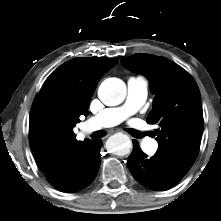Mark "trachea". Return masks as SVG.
I'll return each mask as SVG.
<instances>
[{"mask_svg": "<svg viewBox=\"0 0 221 221\" xmlns=\"http://www.w3.org/2000/svg\"><path fill=\"white\" fill-rule=\"evenodd\" d=\"M129 133L132 136H134L135 138H141L142 137V133H140L139 131L133 130V129H130ZM105 135H106L105 131H96L92 134L91 137H92V139L97 140V139L103 138Z\"/></svg>", "mask_w": 221, "mask_h": 221, "instance_id": "trachea-1", "label": "trachea"}]
</instances>
